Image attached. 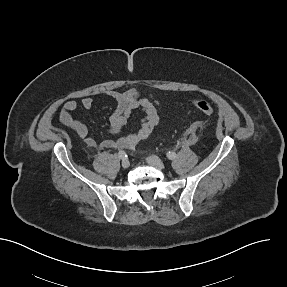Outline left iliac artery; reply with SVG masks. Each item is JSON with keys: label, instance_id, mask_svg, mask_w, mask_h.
Returning <instances> with one entry per match:
<instances>
[{"label": "left iliac artery", "instance_id": "1", "mask_svg": "<svg viewBox=\"0 0 287 287\" xmlns=\"http://www.w3.org/2000/svg\"><path fill=\"white\" fill-rule=\"evenodd\" d=\"M166 155H167V158L170 159V160H172V159H174L176 157V153L173 152V151L167 152Z\"/></svg>", "mask_w": 287, "mask_h": 287}]
</instances>
